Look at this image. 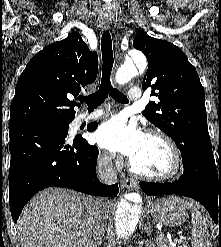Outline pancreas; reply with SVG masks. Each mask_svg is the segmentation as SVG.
Returning a JSON list of instances; mask_svg holds the SVG:
<instances>
[{"label":"pancreas","mask_w":221,"mask_h":247,"mask_svg":"<svg viewBox=\"0 0 221 247\" xmlns=\"http://www.w3.org/2000/svg\"><path fill=\"white\" fill-rule=\"evenodd\" d=\"M176 243L178 241H175ZM157 245L158 247H173L172 242H169L168 240H166L162 235H159L157 237ZM181 247V246H178Z\"/></svg>","instance_id":"pancreas-1"}]
</instances>
